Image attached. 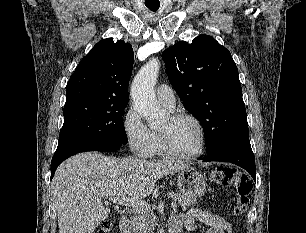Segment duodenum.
<instances>
[{"instance_id":"obj_1","label":"duodenum","mask_w":306,"mask_h":233,"mask_svg":"<svg viewBox=\"0 0 306 233\" xmlns=\"http://www.w3.org/2000/svg\"><path fill=\"white\" fill-rule=\"evenodd\" d=\"M119 232L120 233H131L130 222L127 216H121L119 219ZM170 233H179V229L170 226Z\"/></svg>"}]
</instances>
